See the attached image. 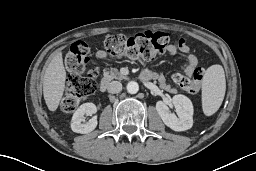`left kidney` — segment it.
I'll list each match as a JSON object with an SVG mask.
<instances>
[{
  "label": "left kidney",
  "instance_id": "5707ae66",
  "mask_svg": "<svg viewBox=\"0 0 256 171\" xmlns=\"http://www.w3.org/2000/svg\"><path fill=\"white\" fill-rule=\"evenodd\" d=\"M172 103L175 107L177 116L172 113L169 106L163 102L156 103V110L166 126L174 131H186L193 125V105L191 100L181 94L175 95L172 98Z\"/></svg>",
  "mask_w": 256,
  "mask_h": 171
}]
</instances>
